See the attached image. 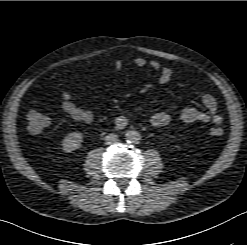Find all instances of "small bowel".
<instances>
[{
	"label": "small bowel",
	"instance_id": "obj_1",
	"mask_svg": "<svg viewBox=\"0 0 247 245\" xmlns=\"http://www.w3.org/2000/svg\"><path fill=\"white\" fill-rule=\"evenodd\" d=\"M134 64L137 67H144L148 65L153 70L159 71V81L161 84H168L172 79V69H170L169 67H162L161 64L156 60H151L148 62L142 57H136L134 59ZM114 67L118 73L122 72L123 65L120 61H116ZM61 99L62 110L65 113H67L71 118L84 123H91L93 121V113L90 110L84 109L78 106L76 103H74L72 101V96L70 92H62ZM202 103L206 111H202L194 107H186L179 112V119L185 123L212 122L215 125L221 124L222 117L217 113L218 104L215 97L211 94H205L202 97ZM170 121L171 116L166 112H156L150 117V123L154 127H165L170 123Z\"/></svg>",
	"mask_w": 247,
	"mask_h": 245
}]
</instances>
